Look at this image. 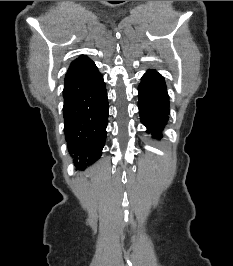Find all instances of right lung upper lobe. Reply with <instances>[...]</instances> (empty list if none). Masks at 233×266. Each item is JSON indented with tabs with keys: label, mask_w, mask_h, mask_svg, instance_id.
I'll list each match as a JSON object with an SVG mask.
<instances>
[{
	"label": "right lung upper lobe",
	"mask_w": 233,
	"mask_h": 266,
	"mask_svg": "<svg viewBox=\"0 0 233 266\" xmlns=\"http://www.w3.org/2000/svg\"><path fill=\"white\" fill-rule=\"evenodd\" d=\"M85 58H87V57L86 56H81V57L77 58L76 60L72 61V63H71L69 68H72V67L76 66L77 64L82 62Z\"/></svg>",
	"instance_id": "obj_1"
}]
</instances>
